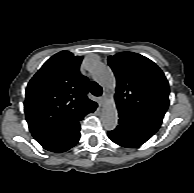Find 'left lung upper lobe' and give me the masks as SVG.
<instances>
[{
  "instance_id": "obj_1",
  "label": "left lung upper lobe",
  "mask_w": 194,
  "mask_h": 193,
  "mask_svg": "<svg viewBox=\"0 0 194 193\" xmlns=\"http://www.w3.org/2000/svg\"><path fill=\"white\" fill-rule=\"evenodd\" d=\"M108 64L117 80L118 111L160 126L169 106V84L162 70L133 52L109 56Z\"/></svg>"
}]
</instances>
